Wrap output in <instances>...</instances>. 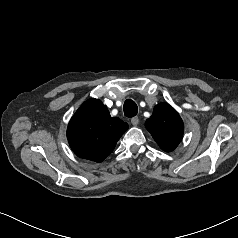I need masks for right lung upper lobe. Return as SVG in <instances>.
<instances>
[{
    "label": "right lung upper lobe",
    "mask_w": 238,
    "mask_h": 238,
    "mask_svg": "<svg viewBox=\"0 0 238 238\" xmlns=\"http://www.w3.org/2000/svg\"><path fill=\"white\" fill-rule=\"evenodd\" d=\"M127 129V123L111 117L106 106L92 98L81 105L71 118L67 137L77 156L101 162L113 151Z\"/></svg>",
    "instance_id": "right-lung-upper-lobe-1"
}]
</instances>
